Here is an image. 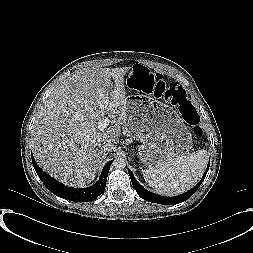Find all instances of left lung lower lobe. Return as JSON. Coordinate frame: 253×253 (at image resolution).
I'll use <instances>...</instances> for the list:
<instances>
[{
  "label": "left lung lower lobe",
  "mask_w": 253,
  "mask_h": 253,
  "mask_svg": "<svg viewBox=\"0 0 253 253\" xmlns=\"http://www.w3.org/2000/svg\"><path fill=\"white\" fill-rule=\"evenodd\" d=\"M209 169V164L207 166V169L205 171L204 176L202 177L201 181L191 190H189L188 192L179 195V196H175V197H164V196H160L154 193H151L150 191L146 190L144 187H142L134 178L132 172L130 170H128L132 184L134 189H136L138 195L143 198L144 200H147L149 202H154V203H159V204H164V205H174V204H178L181 203L185 200H187L188 198H190L195 192L196 190L199 188V186L201 185V183L203 182L207 172Z\"/></svg>",
  "instance_id": "1"
}]
</instances>
